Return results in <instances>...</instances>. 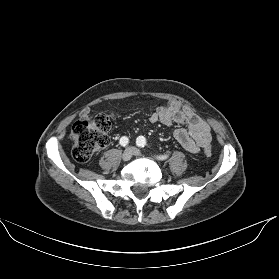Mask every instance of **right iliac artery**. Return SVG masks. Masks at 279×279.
<instances>
[{"label":"right iliac artery","instance_id":"82829eb1","mask_svg":"<svg viewBox=\"0 0 279 279\" xmlns=\"http://www.w3.org/2000/svg\"><path fill=\"white\" fill-rule=\"evenodd\" d=\"M129 143V139L126 137V136H123L121 139H120V145L125 147L127 144Z\"/></svg>","mask_w":279,"mask_h":279}]
</instances>
